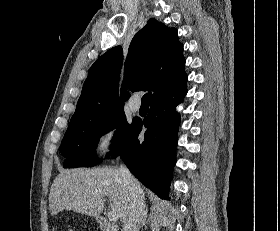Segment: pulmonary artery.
I'll return each instance as SVG.
<instances>
[{
  "instance_id": "e3ab8cb5",
  "label": "pulmonary artery",
  "mask_w": 280,
  "mask_h": 231,
  "mask_svg": "<svg viewBox=\"0 0 280 231\" xmlns=\"http://www.w3.org/2000/svg\"><path fill=\"white\" fill-rule=\"evenodd\" d=\"M129 107L133 112H137L140 109V103H137L133 99H130Z\"/></svg>"
}]
</instances>
